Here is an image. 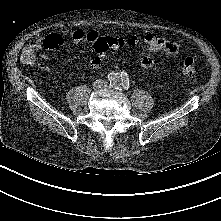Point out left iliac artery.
<instances>
[{
    "instance_id": "44dca946",
    "label": "left iliac artery",
    "mask_w": 221,
    "mask_h": 221,
    "mask_svg": "<svg viewBox=\"0 0 221 221\" xmlns=\"http://www.w3.org/2000/svg\"><path fill=\"white\" fill-rule=\"evenodd\" d=\"M120 90H128L129 88V83L127 80H122V82L118 86Z\"/></svg>"
}]
</instances>
